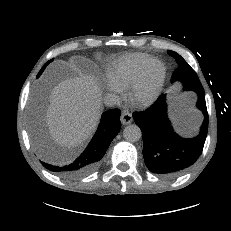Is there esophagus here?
<instances>
[{
    "label": "esophagus",
    "mask_w": 231,
    "mask_h": 231,
    "mask_svg": "<svg viewBox=\"0 0 231 231\" xmlns=\"http://www.w3.org/2000/svg\"><path fill=\"white\" fill-rule=\"evenodd\" d=\"M120 120L123 125H128L133 121L132 114L129 111L124 110L122 111Z\"/></svg>",
    "instance_id": "1"
}]
</instances>
